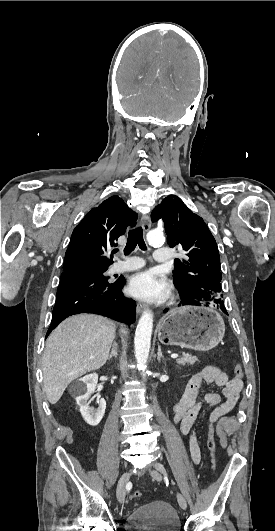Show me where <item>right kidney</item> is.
<instances>
[{
  "instance_id": "right-kidney-1",
  "label": "right kidney",
  "mask_w": 275,
  "mask_h": 531,
  "mask_svg": "<svg viewBox=\"0 0 275 531\" xmlns=\"http://www.w3.org/2000/svg\"><path fill=\"white\" fill-rule=\"evenodd\" d=\"M98 383V375L91 373L86 377H81L78 381H74L69 387V393L71 397H74L76 405L80 407L79 411L86 423L91 427H96L102 421L106 409L105 399H100L98 409H92L89 407L88 399H90L92 393H95V389Z\"/></svg>"
}]
</instances>
